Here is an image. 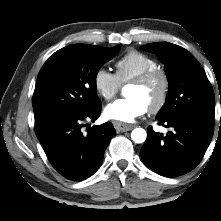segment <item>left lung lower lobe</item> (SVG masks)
I'll return each instance as SVG.
<instances>
[{
	"label": "left lung lower lobe",
	"instance_id": "left-lung-lower-lobe-1",
	"mask_svg": "<svg viewBox=\"0 0 221 221\" xmlns=\"http://www.w3.org/2000/svg\"><path fill=\"white\" fill-rule=\"evenodd\" d=\"M165 127H173L166 136L151 127L140 151L147 168L165 177L184 175L202 160L213 136V126L198 117L181 115L157 119Z\"/></svg>",
	"mask_w": 221,
	"mask_h": 221
}]
</instances>
